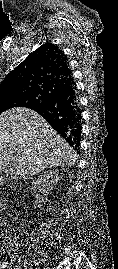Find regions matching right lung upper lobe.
I'll use <instances>...</instances> for the list:
<instances>
[{"mask_svg": "<svg viewBox=\"0 0 118 269\" xmlns=\"http://www.w3.org/2000/svg\"><path fill=\"white\" fill-rule=\"evenodd\" d=\"M73 83L63 51L52 43H45L6 76L0 84V98L29 96L41 104Z\"/></svg>", "mask_w": 118, "mask_h": 269, "instance_id": "right-lung-upper-lobe-1", "label": "right lung upper lobe"}]
</instances>
